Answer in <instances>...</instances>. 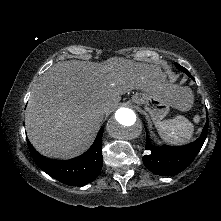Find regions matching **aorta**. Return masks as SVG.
I'll return each instance as SVG.
<instances>
[{
  "label": "aorta",
  "instance_id": "obj_1",
  "mask_svg": "<svg viewBox=\"0 0 221 221\" xmlns=\"http://www.w3.org/2000/svg\"><path fill=\"white\" fill-rule=\"evenodd\" d=\"M107 132L119 140H132L139 136L142 130L135 112L130 108H119L109 118L106 125Z\"/></svg>",
  "mask_w": 221,
  "mask_h": 221
}]
</instances>
